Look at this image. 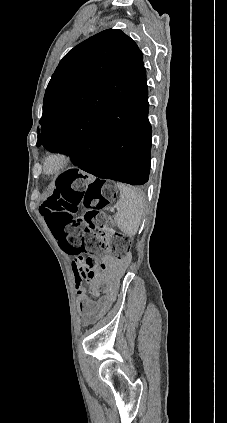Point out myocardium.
<instances>
[{
    "mask_svg": "<svg viewBox=\"0 0 227 423\" xmlns=\"http://www.w3.org/2000/svg\"><path fill=\"white\" fill-rule=\"evenodd\" d=\"M72 163V156L64 150H53L46 153L42 160L44 175L53 177L64 172Z\"/></svg>",
    "mask_w": 227,
    "mask_h": 423,
    "instance_id": "f54148a6",
    "label": "myocardium"
}]
</instances>
